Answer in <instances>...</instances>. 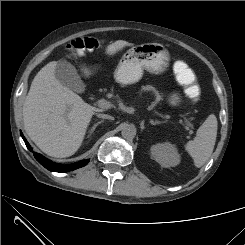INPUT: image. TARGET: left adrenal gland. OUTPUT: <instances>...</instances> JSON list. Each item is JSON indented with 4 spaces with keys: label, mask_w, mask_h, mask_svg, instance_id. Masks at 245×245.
I'll return each mask as SVG.
<instances>
[{
    "label": "left adrenal gland",
    "mask_w": 245,
    "mask_h": 245,
    "mask_svg": "<svg viewBox=\"0 0 245 245\" xmlns=\"http://www.w3.org/2000/svg\"><path fill=\"white\" fill-rule=\"evenodd\" d=\"M150 123L152 124V125H156V124H161L162 123V121H158V120H150Z\"/></svg>",
    "instance_id": "obj_1"
}]
</instances>
